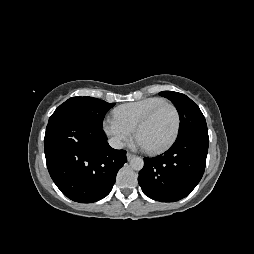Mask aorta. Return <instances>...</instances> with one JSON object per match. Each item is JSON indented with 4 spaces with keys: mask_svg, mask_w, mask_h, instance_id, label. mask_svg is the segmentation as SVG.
Segmentation results:
<instances>
[{
    "mask_svg": "<svg viewBox=\"0 0 254 254\" xmlns=\"http://www.w3.org/2000/svg\"><path fill=\"white\" fill-rule=\"evenodd\" d=\"M130 166L136 171H140L144 166V161L140 157H134L130 160Z\"/></svg>",
    "mask_w": 254,
    "mask_h": 254,
    "instance_id": "1",
    "label": "aorta"
}]
</instances>
